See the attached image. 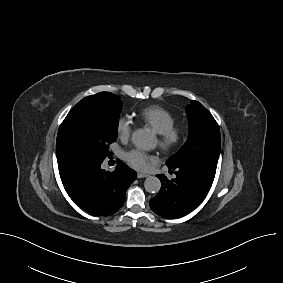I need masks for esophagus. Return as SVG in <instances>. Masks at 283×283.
<instances>
[{
    "label": "esophagus",
    "mask_w": 283,
    "mask_h": 283,
    "mask_svg": "<svg viewBox=\"0 0 283 283\" xmlns=\"http://www.w3.org/2000/svg\"><path fill=\"white\" fill-rule=\"evenodd\" d=\"M149 175L148 174H144V173H138L137 174V177L138 178H146V177H148Z\"/></svg>",
    "instance_id": "1"
}]
</instances>
